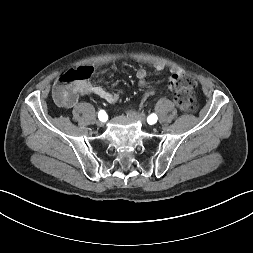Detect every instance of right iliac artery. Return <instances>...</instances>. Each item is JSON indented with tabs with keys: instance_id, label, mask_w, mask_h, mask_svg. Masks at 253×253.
I'll use <instances>...</instances> for the list:
<instances>
[{
	"instance_id": "1",
	"label": "right iliac artery",
	"mask_w": 253,
	"mask_h": 253,
	"mask_svg": "<svg viewBox=\"0 0 253 253\" xmlns=\"http://www.w3.org/2000/svg\"><path fill=\"white\" fill-rule=\"evenodd\" d=\"M98 118L101 121H106L107 120V114L104 110H100L98 113Z\"/></svg>"
}]
</instances>
